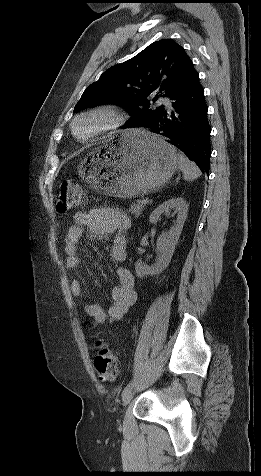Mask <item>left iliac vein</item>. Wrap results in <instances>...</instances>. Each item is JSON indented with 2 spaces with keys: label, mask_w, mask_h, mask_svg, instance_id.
Instances as JSON below:
<instances>
[{
  "label": "left iliac vein",
  "mask_w": 261,
  "mask_h": 476,
  "mask_svg": "<svg viewBox=\"0 0 261 476\" xmlns=\"http://www.w3.org/2000/svg\"><path fill=\"white\" fill-rule=\"evenodd\" d=\"M133 387H131L129 390H127L126 392L123 393L122 395V401H123V405L124 406H127L130 401L132 400L133 398Z\"/></svg>",
  "instance_id": "1"
}]
</instances>
